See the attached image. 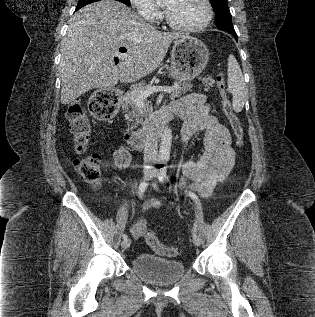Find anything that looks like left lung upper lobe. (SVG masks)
Instances as JSON below:
<instances>
[{
	"label": "left lung upper lobe",
	"instance_id": "1",
	"mask_svg": "<svg viewBox=\"0 0 315 317\" xmlns=\"http://www.w3.org/2000/svg\"><path fill=\"white\" fill-rule=\"evenodd\" d=\"M210 2L216 15L217 28L229 33H236L232 25L227 0H210Z\"/></svg>",
	"mask_w": 315,
	"mask_h": 317
}]
</instances>
